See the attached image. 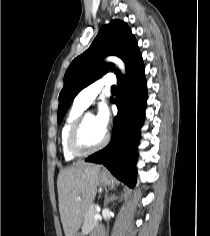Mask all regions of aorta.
Returning <instances> with one entry per match:
<instances>
[{
  "label": "aorta",
  "mask_w": 210,
  "mask_h": 236,
  "mask_svg": "<svg viewBox=\"0 0 210 236\" xmlns=\"http://www.w3.org/2000/svg\"><path fill=\"white\" fill-rule=\"evenodd\" d=\"M106 60L109 62H113L114 64H116L119 67V69L123 73L125 72V65H124L123 61L121 59H119L118 57L110 56Z\"/></svg>",
  "instance_id": "762f6f07"
}]
</instances>
